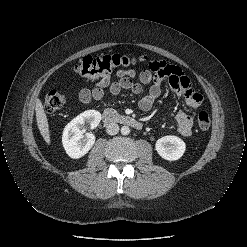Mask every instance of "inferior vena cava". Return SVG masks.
<instances>
[{
    "instance_id": "inferior-vena-cava-1",
    "label": "inferior vena cava",
    "mask_w": 247,
    "mask_h": 247,
    "mask_svg": "<svg viewBox=\"0 0 247 247\" xmlns=\"http://www.w3.org/2000/svg\"><path fill=\"white\" fill-rule=\"evenodd\" d=\"M106 132L109 135H116L119 132V125L117 123H109L106 127Z\"/></svg>"
}]
</instances>
